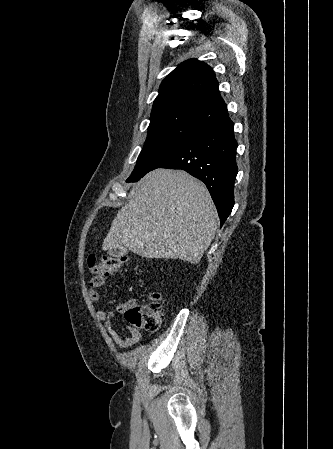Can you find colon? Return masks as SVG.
Returning <instances> with one entry per match:
<instances>
[{"label": "colon", "mask_w": 333, "mask_h": 449, "mask_svg": "<svg viewBox=\"0 0 333 449\" xmlns=\"http://www.w3.org/2000/svg\"><path fill=\"white\" fill-rule=\"evenodd\" d=\"M127 261L125 255H90L88 268L95 274L110 275L117 272ZM126 321L134 328L155 331L163 317V305L158 294H154L147 302L137 300L128 304L124 311Z\"/></svg>", "instance_id": "5ec220e1"}]
</instances>
